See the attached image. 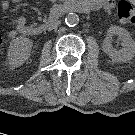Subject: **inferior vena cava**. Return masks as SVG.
<instances>
[{"instance_id":"obj_1","label":"inferior vena cava","mask_w":135,"mask_h":135,"mask_svg":"<svg viewBox=\"0 0 135 135\" xmlns=\"http://www.w3.org/2000/svg\"><path fill=\"white\" fill-rule=\"evenodd\" d=\"M60 20H54L47 25L48 30L56 29L60 25Z\"/></svg>"}]
</instances>
